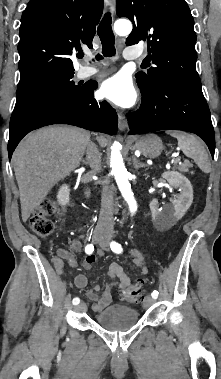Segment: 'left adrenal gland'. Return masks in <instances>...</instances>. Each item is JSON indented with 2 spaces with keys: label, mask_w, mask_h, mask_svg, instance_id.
I'll return each instance as SVG.
<instances>
[{
  "label": "left adrenal gland",
  "mask_w": 221,
  "mask_h": 379,
  "mask_svg": "<svg viewBox=\"0 0 221 379\" xmlns=\"http://www.w3.org/2000/svg\"><path fill=\"white\" fill-rule=\"evenodd\" d=\"M133 166L135 169H138V168H143L146 165L144 163L139 162L136 157H133Z\"/></svg>",
  "instance_id": "a2214340"
}]
</instances>
